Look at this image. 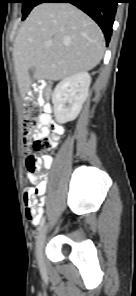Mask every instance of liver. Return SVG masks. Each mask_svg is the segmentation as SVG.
Segmentation results:
<instances>
[{"mask_svg": "<svg viewBox=\"0 0 136 296\" xmlns=\"http://www.w3.org/2000/svg\"><path fill=\"white\" fill-rule=\"evenodd\" d=\"M51 43L49 47L45 43ZM105 48L100 27L69 3H41L22 24L13 60L20 94L34 80H61L93 69ZM33 70V78L30 70Z\"/></svg>", "mask_w": 136, "mask_h": 296, "instance_id": "obj_1", "label": "liver"}]
</instances>
